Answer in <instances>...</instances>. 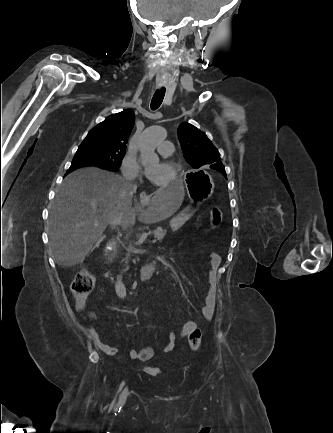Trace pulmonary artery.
<instances>
[{
    "label": "pulmonary artery",
    "mask_w": 333,
    "mask_h": 433,
    "mask_svg": "<svg viewBox=\"0 0 333 433\" xmlns=\"http://www.w3.org/2000/svg\"><path fill=\"white\" fill-rule=\"evenodd\" d=\"M157 151L163 156H169L173 153V144L170 141H162L158 144Z\"/></svg>",
    "instance_id": "pulmonary-artery-1"
}]
</instances>
